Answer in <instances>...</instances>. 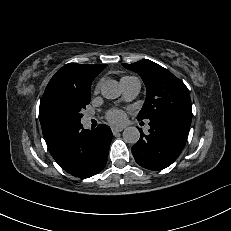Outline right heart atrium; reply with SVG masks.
Here are the masks:
<instances>
[{
    "instance_id": "obj_1",
    "label": "right heart atrium",
    "mask_w": 231,
    "mask_h": 231,
    "mask_svg": "<svg viewBox=\"0 0 231 231\" xmlns=\"http://www.w3.org/2000/svg\"><path fill=\"white\" fill-rule=\"evenodd\" d=\"M99 89V84L97 85V87H96V90H98Z\"/></svg>"
}]
</instances>
